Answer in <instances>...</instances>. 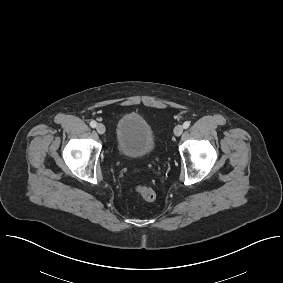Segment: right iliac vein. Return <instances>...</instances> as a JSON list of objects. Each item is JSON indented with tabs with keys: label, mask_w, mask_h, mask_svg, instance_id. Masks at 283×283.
<instances>
[{
	"label": "right iliac vein",
	"mask_w": 283,
	"mask_h": 283,
	"mask_svg": "<svg viewBox=\"0 0 283 283\" xmlns=\"http://www.w3.org/2000/svg\"><path fill=\"white\" fill-rule=\"evenodd\" d=\"M96 130L99 134H104L106 131L105 126L101 123L96 126Z\"/></svg>",
	"instance_id": "obj_1"
}]
</instances>
